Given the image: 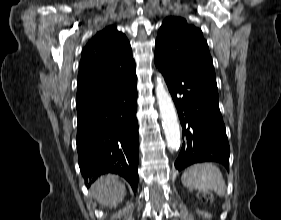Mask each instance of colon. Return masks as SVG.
Instances as JSON below:
<instances>
[{
    "instance_id": "colon-1",
    "label": "colon",
    "mask_w": 281,
    "mask_h": 220,
    "mask_svg": "<svg viewBox=\"0 0 281 220\" xmlns=\"http://www.w3.org/2000/svg\"><path fill=\"white\" fill-rule=\"evenodd\" d=\"M200 198L202 199V200H204V201H206V202H210V201H212L213 200V195H212V193H210V192H203V193H201L200 195Z\"/></svg>"
}]
</instances>
